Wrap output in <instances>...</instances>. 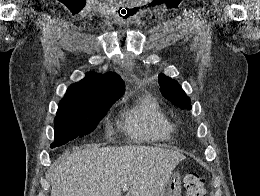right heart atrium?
Masks as SVG:
<instances>
[{"label": "right heart atrium", "mask_w": 260, "mask_h": 196, "mask_svg": "<svg viewBox=\"0 0 260 196\" xmlns=\"http://www.w3.org/2000/svg\"><path fill=\"white\" fill-rule=\"evenodd\" d=\"M128 192H152V190H128Z\"/></svg>", "instance_id": "right-heart-atrium-1"}]
</instances>
